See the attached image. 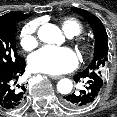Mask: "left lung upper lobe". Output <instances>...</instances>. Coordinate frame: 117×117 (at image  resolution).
Listing matches in <instances>:
<instances>
[{
  "label": "left lung upper lobe",
  "instance_id": "left-lung-upper-lobe-1",
  "mask_svg": "<svg viewBox=\"0 0 117 117\" xmlns=\"http://www.w3.org/2000/svg\"><path fill=\"white\" fill-rule=\"evenodd\" d=\"M72 10L82 15L90 24L95 37V49L92 62L84 71L95 72L104 78L105 68L108 61V44L107 33L102 22L96 16L88 11L80 8H72Z\"/></svg>",
  "mask_w": 117,
  "mask_h": 117
}]
</instances>
